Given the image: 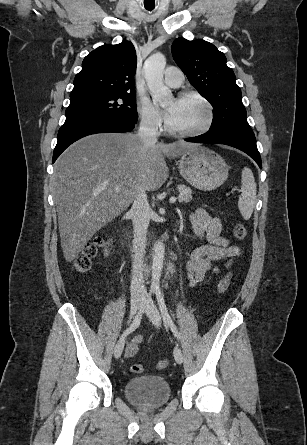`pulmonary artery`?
<instances>
[{
    "label": "pulmonary artery",
    "instance_id": "obj_1",
    "mask_svg": "<svg viewBox=\"0 0 307 445\" xmlns=\"http://www.w3.org/2000/svg\"><path fill=\"white\" fill-rule=\"evenodd\" d=\"M164 76L167 84L177 86L180 85L183 80V71L182 69L167 68Z\"/></svg>",
    "mask_w": 307,
    "mask_h": 445
}]
</instances>
